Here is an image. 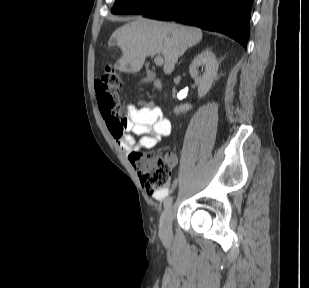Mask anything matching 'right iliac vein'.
I'll use <instances>...</instances> for the list:
<instances>
[{"label": "right iliac vein", "mask_w": 309, "mask_h": 288, "mask_svg": "<svg viewBox=\"0 0 309 288\" xmlns=\"http://www.w3.org/2000/svg\"><path fill=\"white\" fill-rule=\"evenodd\" d=\"M173 219V209L170 205L162 213L160 218L159 232L163 239L169 240L172 236L171 225Z\"/></svg>", "instance_id": "obj_1"}]
</instances>
